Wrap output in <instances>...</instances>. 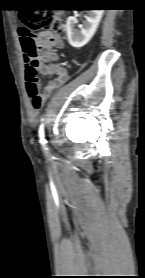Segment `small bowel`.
Instances as JSON below:
<instances>
[{
  "instance_id": "1",
  "label": "small bowel",
  "mask_w": 145,
  "mask_h": 278,
  "mask_svg": "<svg viewBox=\"0 0 145 278\" xmlns=\"http://www.w3.org/2000/svg\"><path fill=\"white\" fill-rule=\"evenodd\" d=\"M34 38L42 46L49 45L57 49H62L64 47V41L58 34L40 33L35 35ZM28 65L29 61H26L25 68H27ZM35 70L45 76H54L53 80L44 87V93H52L68 79V72L64 66L46 60L40 61L36 65Z\"/></svg>"
}]
</instances>
